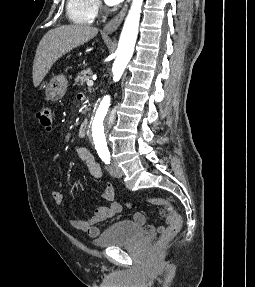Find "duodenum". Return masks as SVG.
Returning <instances> with one entry per match:
<instances>
[{
  "mask_svg": "<svg viewBox=\"0 0 255 287\" xmlns=\"http://www.w3.org/2000/svg\"><path fill=\"white\" fill-rule=\"evenodd\" d=\"M80 98L84 99L85 96L80 95ZM87 129H88V121L83 120L78 127V136L80 138H85L87 136Z\"/></svg>",
  "mask_w": 255,
  "mask_h": 287,
  "instance_id": "1",
  "label": "duodenum"
}]
</instances>
